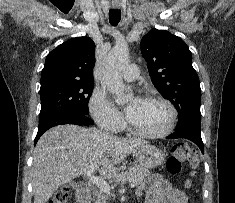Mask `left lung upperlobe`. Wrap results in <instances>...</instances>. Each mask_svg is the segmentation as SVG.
Masks as SVG:
<instances>
[{"label":"left lung upper lobe","instance_id":"5c2ea615","mask_svg":"<svg viewBox=\"0 0 235 203\" xmlns=\"http://www.w3.org/2000/svg\"><path fill=\"white\" fill-rule=\"evenodd\" d=\"M141 51L152 83L178 111V126L200 125V82L185 42L168 31L154 29L142 38Z\"/></svg>","mask_w":235,"mask_h":203}]
</instances>
